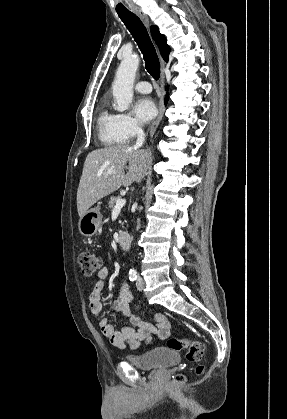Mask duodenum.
Returning <instances> with one entry per match:
<instances>
[{
    "label": "duodenum",
    "instance_id": "obj_1",
    "mask_svg": "<svg viewBox=\"0 0 287 419\" xmlns=\"http://www.w3.org/2000/svg\"><path fill=\"white\" fill-rule=\"evenodd\" d=\"M118 245L123 250H129L131 247V238L128 233L122 232L117 237Z\"/></svg>",
    "mask_w": 287,
    "mask_h": 419
}]
</instances>
